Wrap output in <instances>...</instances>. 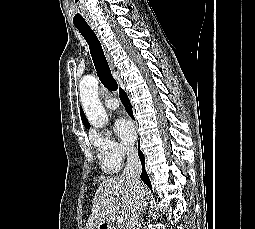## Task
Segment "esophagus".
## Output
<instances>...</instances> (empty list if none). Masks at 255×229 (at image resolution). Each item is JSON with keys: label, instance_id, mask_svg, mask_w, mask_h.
I'll list each match as a JSON object with an SVG mask.
<instances>
[{"label": "esophagus", "instance_id": "34e87169", "mask_svg": "<svg viewBox=\"0 0 255 229\" xmlns=\"http://www.w3.org/2000/svg\"><path fill=\"white\" fill-rule=\"evenodd\" d=\"M88 24L91 27V29L95 32V34L97 35V37H98V39L100 41L102 49L104 51V54L106 56V59L108 61V64H109L111 70H114L113 58H112L109 50L107 49L106 45L104 44L103 39H102V37L100 35V32H99L97 26L93 22H91V21H89Z\"/></svg>", "mask_w": 255, "mask_h": 229}]
</instances>
